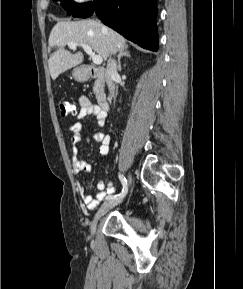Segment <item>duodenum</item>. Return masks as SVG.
Here are the masks:
<instances>
[{
  "label": "duodenum",
  "instance_id": "410a0bca",
  "mask_svg": "<svg viewBox=\"0 0 243 289\" xmlns=\"http://www.w3.org/2000/svg\"><path fill=\"white\" fill-rule=\"evenodd\" d=\"M83 71H84V74L88 78L99 80L100 89L96 97L97 103H98L99 108L102 111L107 112L109 109V102H108V98L104 89V83L106 79V70L104 68L87 65L84 67Z\"/></svg>",
  "mask_w": 243,
  "mask_h": 289
}]
</instances>
